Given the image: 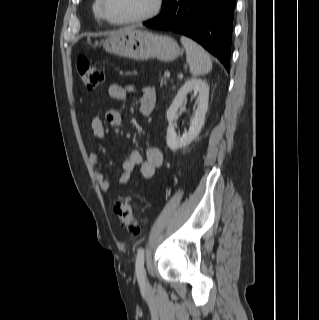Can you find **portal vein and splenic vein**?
<instances>
[{
    "instance_id": "obj_1",
    "label": "portal vein and splenic vein",
    "mask_w": 319,
    "mask_h": 320,
    "mask_svg": "<svg viewBox=\"0 0 319 320\" xmlns=\"http://www.w3.org/2000/svg\"><path fill=\"white\" fill-rule=\"evenodd\" d=\"M165 77L169 78L170 77V72L166 71L165 72Z\"/></svg>"
}]
</instances>
